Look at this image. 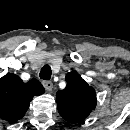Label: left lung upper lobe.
Segmentation results:
<instances>
[{
  "label": "left lung upper lobe",
  "instance_id": "1",
  "mask_svg": "<svg viewBox=\"0 0 130 130\" xmlns=\"http://www.w3.org/2000/svg\"><path fill=\"white\" fill-rule=\"evenodd\" d=\"M65 80V89L56 96L58 111L68 122H81L95 109V90L75 71L67 73Z\"/></svg>",
  "mask_w": 130,
  "mask_h": 130
}]
</instances>
